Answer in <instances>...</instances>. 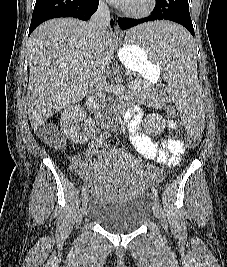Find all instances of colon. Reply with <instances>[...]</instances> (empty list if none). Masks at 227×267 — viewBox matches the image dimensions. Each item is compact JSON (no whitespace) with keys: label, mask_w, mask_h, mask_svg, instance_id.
I'll return each mask as SVG.
<instances>
[{"label":"colon","mask_w":227,"mask_h":267,"mask_svg":"<svg viewBox=\"0 0 227 267\" xmlns=\"http://www.w3.org/2000/svg\"><path fill=\"white\" fill-rule=\"evenodd\" d=\"M165 108V112L168 113V116H172V120H176L175 124L181 125L182 121L179 120L177 104H166ZM185 134H188L187 131H185ZM39 138L47 145L54 148L62 147L64 142L58 130L52 128L41 129L39 132ZM183 146L184 149H186V152H189L190 155L197 154V147L200 146V140L196 139L195 137L187 136Z\"/></svg>","instance_id":"obj_1"}]
</instances>
